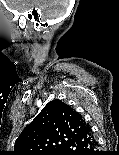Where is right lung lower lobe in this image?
Returning <instances> with one entry per match:
<instances>
[{
	"label": "right lung lower lobe",
	"instance_id": "1",
	"mask_svg": "<svg viewBox=\"0 0 119 155\" xmlns=\"http://www.w3.org/2000/svg\"><path fill=\"white\" fill-rule=\"evenodd\" d=\"M97 142L89 127L82 134L68 142L58 155H98Z\"/></svg>",
	"mask_w": 119,
	"mask_h": 155
}]
</instances>
